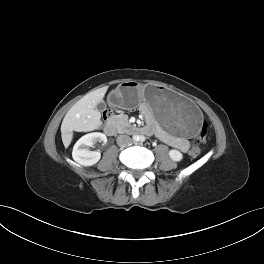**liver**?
<instances>
[{
	"label": "liver",
	"instance_id": "obj_1",
	"mask_svg": "<svg viewBox=\"0 0 264 264\" xmlns=\"http://www.w3.org/2000/svg\"><path fill=\"white\" fill-rule=\"evenodd\" d=\"M106 91V87L92 91L69 109L61 125V136L65 148L73 139V131L88 132L100 127L101 113L96 106L103 100Z\"/></svg>",
	"mask_w": 264,
	"mask_h": 264
}]
</instances>
